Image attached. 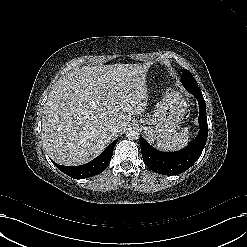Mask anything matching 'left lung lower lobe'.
<instances>
[{"instance_id":"obj_1","label":"left lung lower lobe","mask_w":247,"mask_h":247,"mask_svg":"<svg viewBox=\"0 0 247 247\" xmlns=\"http://www.w3.org/2000/svg\"><path fill=\"white\" fill-rule=\"evenodd\" d=\"M198 100L199 124L198 136L186 148L178 152H160L141 137V153L145 165L153 172L163 175H177L189 169L200 157L208 136L206 105L198 85H184Z\"/></svg>"}]
</instances>
